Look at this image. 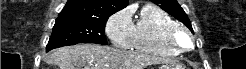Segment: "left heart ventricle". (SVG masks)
Wrapping results in <instances>:
<instances>
[{"label": "left heart ventricle", "mask_w": 246, "mask_h": 69, "mask_svg": "<svg viewBox=\"0 0 246 69\" xmlns=\"http://www.w3.org/2000/svg\"><path fill=\"white\" fill-rule=\"evenodd\" d=\"M177 39L184 44L187 42V37L182 33L177 34Z\"/></svg>", "instance_id": "1"}]
</instances>
